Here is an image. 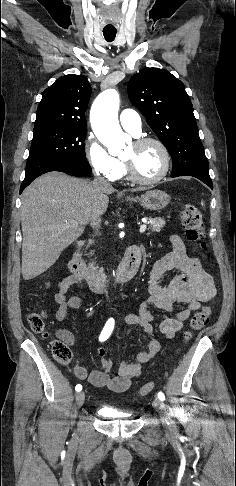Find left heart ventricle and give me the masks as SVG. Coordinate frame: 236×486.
Returning <instances> with one entry per match:
<instances>
[{"mask_svg":"<svg viewBox=\"0 0 236 486\" xmlns=\"http://www.w3.org/2000/svg\"><path fill=\"white\" fill-rule=\"evenodd\" d=\"M123 158L132 164L136 174L141 178H153L163 168V155L155 144L138 147L133 143L127 149Z\"/></svg>","mask_w":236,"mask_h":486,"instance_id":"b2bd125f","label":"left heart ventricle"}]
</instances>
